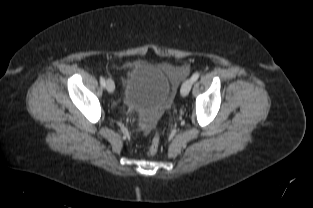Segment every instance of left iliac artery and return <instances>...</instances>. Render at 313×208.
Returning <instances> with one entry per match:
<instances>
[{"label": "left iliac artery", "instance_id": "44dca946", "mask_svg": "<svg viewBox=\"0 0 313 208\" xmlns=\"http://www.w3.org/2000/svg\"><path fill=\"white\" fill-rule=\"evenodd\" d=\"M198 78H199V73L196 72V73H194V74L192 75L191 80H192L193 82H195Z\"/></svg>", "mask_w": 313, "mask_h": 208}]
</instances>
